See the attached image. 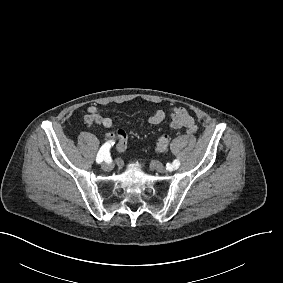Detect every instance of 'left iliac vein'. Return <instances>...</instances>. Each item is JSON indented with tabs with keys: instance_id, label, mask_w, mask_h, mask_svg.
Returning a JSON list of instances; mask_svg holds the SVG:
<instances>
[{
	"instance_id": "left-iliac-vein-1",
	"label": "left iliac vein",
	"mask_w": 283,
	"mask_h": 283,
	"mask_svg": "<svg viewBox=\"0 0 283 283\" xmlns=\"http://www.w3.org/2000/svg\"><path fill=\"white\" fill-rule=\"evenodd\" d=\"M153 165H154V168L157 170V171H162L164 169V167L158 162V161H154L153 162ZM171 170V169H170Z\"/></svg>"
}]
</instances>
